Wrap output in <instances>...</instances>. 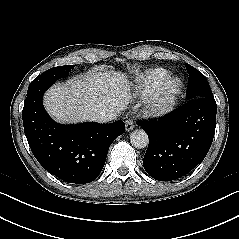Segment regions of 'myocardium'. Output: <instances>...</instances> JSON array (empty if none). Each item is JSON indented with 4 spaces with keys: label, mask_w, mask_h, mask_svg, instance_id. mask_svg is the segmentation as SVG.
<instances>
[{
    "label": "myocardium",
    "mask_w": 239,
    "mask_h": 239,
    "mask_svg": "<svg viewBox=\"0 0 239 239\" xmlns=\"http://www.w3.org/2000/svg\"><path fill=\"white\" fill-rule=\"evenodd\" d=\"M183 87V81L178 76H169L164 79L145 98L146 114L160 117L172 112L182 94Z\"/></svg>",
    "instance_id": "f54148a6"
}]
</instances>
